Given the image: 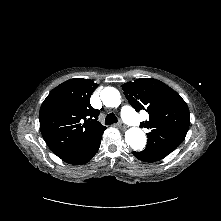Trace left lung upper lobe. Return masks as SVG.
Here are the masks:
<instances>
[{"mask_svg": "<svg viewBox=\"0 0 221 221\" xmlns=\"http://www.w3.org/2000/svg\"><path fill=\"white\" fill-rule=\"evenodd\" d=\"M125 97L136 110H145L149 121L145 150L170 154L185 139L189 124V109L181 96L165 83L153 78H141L123 84Z\"/></svg>", "mask_w": 221, "mask_h": 221, "instance_id": "left-lung-upper-lobe-1", "label": "left lung upper lobe"}]
</instances>
